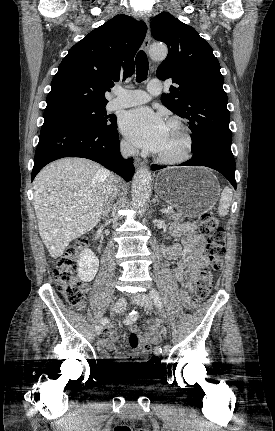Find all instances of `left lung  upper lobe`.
<instances>
[{
  "mask_svg": "<svg viewBox=\"0 0 275 431\" xmlns=\"http://www.w3.org/2000/svg\"><path fill=\"white\" fill-rule=\"evenodd\" d=\"M151 32L169 49L156 75L176 84L170 87L169 94H162V103L188 121L193 133L192 150L211 144H231L228 98L220 64L211 46L193 27L168 12L153 18Z\"/></svg>",
  "mask_w": 275,
  "mask_h": 431,
  "instance_id": "obj_1",
  "label": "left lung upper lobe"
}]
</instances>
